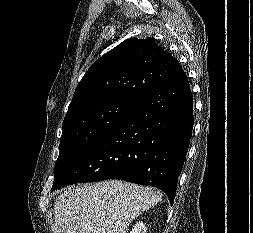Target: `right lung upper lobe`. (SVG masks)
<instances>
[{
	"label": "right lung upper lobe",
	"mask_w": 253,
	"mask_h": 233,
	"mask_svg": "<svg viewBox=\"0 0 253 233\" xmlns=\"http://www.w3.org/2000/svg\"><path fill=\"white\" fill-rule=\"evenodd\" d=\"M180 70V63L153 38L127 39L90 66L75 90L67 114L113 97L136 100Z\"/></svg>",
	"instance_id": "right-lung-upper-lobe-1"
}]
</instances>
